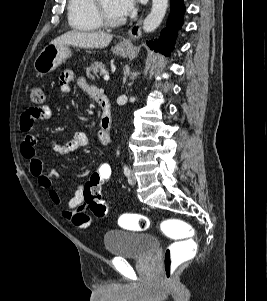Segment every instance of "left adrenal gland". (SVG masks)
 Returning a JSON list of instances; mask_svg holds the SVG:
<instances>
[{"instance_id": "left-adrenal-gland-1", "label": "left adrenal gland", "mask_w": 267, "mask_h": 301, "mask_svg": "<svg viewBox=\"0 0 267 301\" xmlns=\"http://www.w3.org/2000/svg\"><path fill=\"white\" fill-rule=\"evenodd\" d=\"M124 73H125V78L130 75L131 72H130V67L128 65L125 66Z\"/></svg>"}]
</instances>
